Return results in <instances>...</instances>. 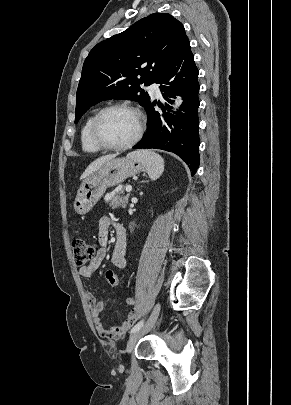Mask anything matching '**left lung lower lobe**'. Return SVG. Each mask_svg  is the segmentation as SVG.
<instances>
[{
  "instance_id": "0a47b994",
  "label": "left lung lower lobe",
  "mask_w": 291,
  "mask_h": 405,
  "mask_svg": "<svg viewBox=\"0 0 291 405\" xmlns=\"http://www.w3.org/2000/svg\"><path fill=\"white\" fill-rule=\"evenodd\" d=\"M198 69L190 49L188 38H184L175 54L165 65L155 80L163 92L165 107L158 103L163 110L159 113L154 109L156 101L151 100L146 107L148 132L133 148H155L173 152L182 158L191 170V175L199 167V118L200 101L197 81ZM176 95L182 97L180 110L174 114L167 113L169 104Z\"/></svg>"
}]
</instances>
